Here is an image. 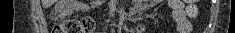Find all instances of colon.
<instances>
[{"instance_id": "1", "label": "colon", "mask_w": 235, "mask_h": 33, "mask_svg": "<svg viewBox=\"0 0 235 33\" xmlns=\"http://www.w3.org/2000/svg\"><path fill=\"white\" fill-rule=\"evenodd\" d=\"M187 14L194 17L197 14L195 0H188ZM95 21L91 17L81 19H65L61 22L52 23V33H93Z\"/></svg>"}]
</instances>
